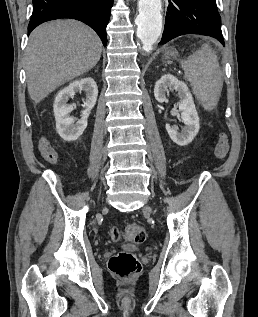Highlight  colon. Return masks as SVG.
Listing matches in <instances>:
<instances>
[{"mask_svg":"<svg viewBox=\"0 0 258 317\" xmlns=\"http://www.w3.org/2000/svg\"><path fill=\"white\" fill-rule=\"evenodd\" d=\"M229 150V138L226 133H221L214 148V155L217 159H223ZM43 158L50 163L58 160L57 153H44ZM110 236L118 240L121 236L134 243H142L146 238L145 228L139 223H127L122 230L112 228ZM109 270L117 277L128 280L136 277L141 271V264L138 258L127 252H118L114 254L108 262Z\"/></svg>","mask_w":258,"mask_h":317,"instance_id":"obj_1","label":"colon"}]
</instances>
